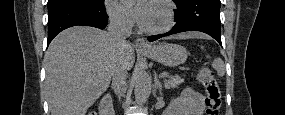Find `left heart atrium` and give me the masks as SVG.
Instances as JSON below:
<instances>
[{
  "mask_svg": "<svg viewBox=\"0 0 285 115\" xmlns=\"http://www.w3.org/2000/svg\"><path fill=\"white\" fill-rule=\"evenodd\" d=\"M127 6L132 10L135 20L140 23L142 26H146L151 10L152 5L148 0H128L126 1Z\"/></svg>",
  "mask_w": 285,
  "mask_h": 115,
  "instance_id": "1",
  "label": "left heart atrium"
}]
</instances>
